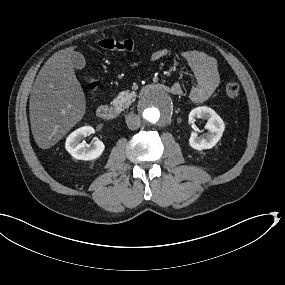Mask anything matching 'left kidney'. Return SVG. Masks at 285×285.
<instances>
[{
  "instance_id": "5707ae66",
  "label": "left kidney",
  "mask_w": 285,
  "mask_h": 285,
  "mask_svg": "<svg viewBox=\"0 0 285 285\" xmlns=\"http://www.w3.org/2000/svg\"><path fill=\"white\" fill-rule=\"evenodd\" d=\"M197 119H207L206 129L208 133L205 137H198L193 133L189 138L190 146L196 151H203L213 148L223 135L225 123L223 119L209 107H198L189 114V121L195 122Z\"/></svg>"
}]
</instances>
